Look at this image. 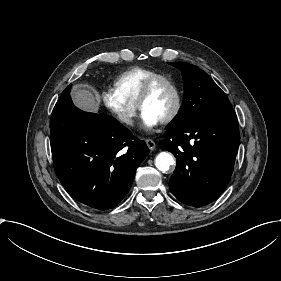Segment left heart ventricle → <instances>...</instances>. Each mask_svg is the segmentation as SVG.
Wrapping results in <instances>:
<instances>
[{
  "label": "left heart ventricle",
  "mask_w": 281,
  "mask_h": 281,
  "mask_svg": "<svg viewBox=\"0 0 281 281\" xmlns=\"http://www.w3.org/2000/svg\"><path fill=\"white\" fill-rule=\"evenodd\" d=\"M174 100L173 90L166 84H160L143 103L142 111L162 122L171 112Z\"/></svg>",
  "instance_id": "b2bd125f"
}]
</instances>
